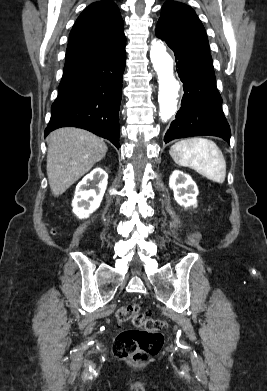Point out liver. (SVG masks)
Instances as JSON below:
<instances>
[{
    "instance_id": "obj_1",
    "label": "liver",
    "mask_w": 267,
    "mask_h": 391,
    "mask_svg": "<svg viewBox=\"0 0 267 391\" xmlns=\"http://www.w3.org/2000/svg\"><path fill=\"white\" fill-rule=\"evenodd\" d=\"M47 175L52 194L62 195L107 153L103 139L78 128H60L47 137Z\"/></svg>"
}]
</instances>
